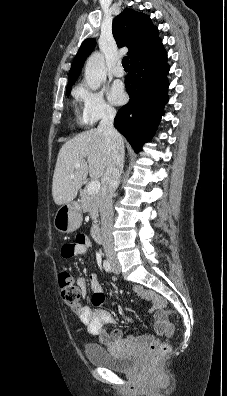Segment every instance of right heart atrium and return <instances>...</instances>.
I'll return each mask as SVG.
<instances>
[{
    "mask_svg": "<svg viewBox=\"0 0 227 396\" xmlns=\"http://www.w3.org/2000/svg\"><path fill=\"white\" fill-rule=\"evenodd\" d=\"M75 97L82 106V116L86 123L94 124L116 115V109L106 101L100 90H92L83 84L76 89Z\"/></svg>",
    "mask_w": 227,
    "mask_h": 396,
    "instance_id": "d8ad5b80",
    "label": "right heart atrium"
}]
</instances>
